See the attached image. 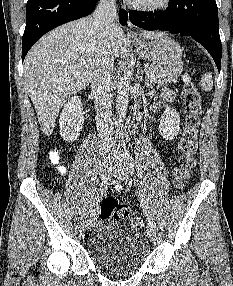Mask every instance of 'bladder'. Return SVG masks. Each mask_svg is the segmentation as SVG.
<instances>
[{"instance_id": "31cf9c89", "label": "bladder", "mask_w": 233, "mask_h": 286, "mask_svg": "<svg viewBox=\"0 0 233 286\" xmlns=\"http://www.w3.org/2000/svg\"><path fill=\"white\" fill-rule=\"evenodd\" d=\"M88 251L98 268L118 272L139 269L149 256L150 248L141 233L107 218L92 233Z\"/></svg>"}]
</instances>
